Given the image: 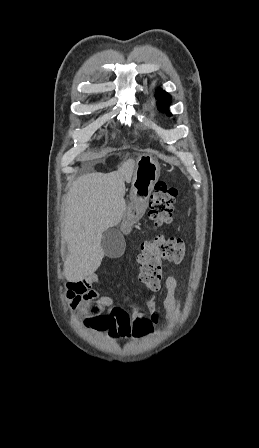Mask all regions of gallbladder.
<instances>
[{"label":"gallbladder","instance_id":"1","mask_svg":"<svg viewBox=\"0 0 259 448\" xmlns=\"http://www.w3.org/2000/svg\"><path fill=\"white\" fill-rule=\"evenodd\" d=\"M101 246L105 256H108V258H120L124 254V238L114 228H110L103 234Z\"/></svg>","mask_w":259,"mask_h":448}]
</instances>
